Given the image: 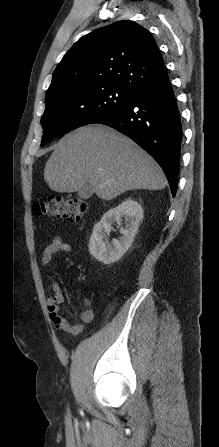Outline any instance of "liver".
<instances>
[{
  "label": "liver",
  "instance_id": "liver-1",
  "mask_svg": "<svg viewBox=\"0 0 219 447\" xmlns=\"http://www.w3.org/2000/svg\"><path fill=\"white\" fill-rule=\"evenodd\" d=\"M49 188L72 193L88 185L102 200L133 189L167 185L156 161L134 141L104 125L80 127L57 144L44 169Z\"/></svg>",
  "mask_w": 219,
  "mask_h": 447
}]
</instances>
